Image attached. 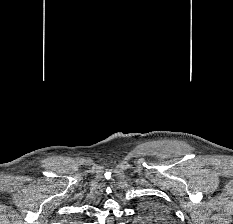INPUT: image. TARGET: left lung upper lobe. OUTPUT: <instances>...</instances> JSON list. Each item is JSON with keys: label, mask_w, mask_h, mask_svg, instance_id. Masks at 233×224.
<instances>
[{"label": "left lung upper lobe", "mask_w": 233, "mask_h": 224, "mask_svg": "<svg viewBox=\"0 0 233 224\" xmlns=\"http://www.w3.org/2000/svg\"><path fill=\"white\" fill-rule=\"evenodd\" d=\"M142 221L147 224H172L173 215L162 204L156 202L145 203L141 207Z\"/></svg>", "instance_id": "left-lung-upper-lobe-1"}]
</instances>
